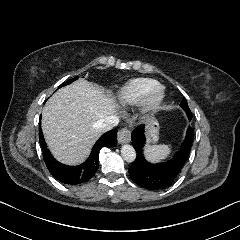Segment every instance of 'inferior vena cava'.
I'll use <instances>...</instances> for the list:
<instances>
[{
    "instance_id": "inferior-vena-cava-1",
    "label": "inferior vena cava",
    "mask_w": 240,
    "mask_h": 240,
    "mask_svg": "<svg viewBox=\"0 0 240 240\" xmlns=\"http://www.w3.org/2000/svg\"><path fill=\"white\" fill-rule=\"evenodd\" d=\"M119 123V117L114 115H108L104 118L100 119L96 123V127L101 132L105 133L113 129L115 126H117Z\"/></svg>"
}]
</instances>
